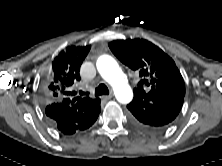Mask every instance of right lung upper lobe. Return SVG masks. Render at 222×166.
<instances>
[{
  "instance_id": "cb5924a9",
  "label": "right lung upper lobe",
  "mask_w": 222,
  "mask_h": 166,
  "mask_svg": "<svg viewBox=\"0 0 222 166\" xmlns=\"http://www.w3.org/2000/svg\"><path fill=\"white\" fill-rule=\"evenodd\" d=\"M90 46H69L53 60L44 84V95L50 100L69 99L77 108L78 115L94 107L98 98L72 97L70 87L80 80V66L87 56Z\"/></svg>"
}]
</instances>
